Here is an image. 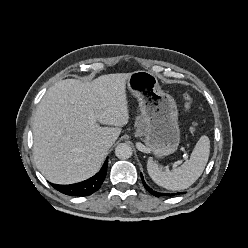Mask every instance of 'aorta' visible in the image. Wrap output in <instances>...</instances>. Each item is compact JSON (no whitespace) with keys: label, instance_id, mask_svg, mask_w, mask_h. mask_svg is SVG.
<instances>
[{"label":"aorta","instance_id":"aorta-1","mask_svg":"<svg viewBox=\"0 0 248 248\" xmlns=\"http://www.w3.org/2000/svg\"><path fill=\"white\" fill-rule=\"evenodd\" d=\"M115 155L120 159H128L132 156V148L126 143H120L115 148Z\"/></svg>","mask_w":248,"mask_h":248}]
</instances>
